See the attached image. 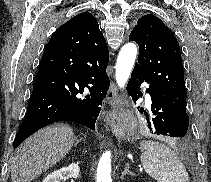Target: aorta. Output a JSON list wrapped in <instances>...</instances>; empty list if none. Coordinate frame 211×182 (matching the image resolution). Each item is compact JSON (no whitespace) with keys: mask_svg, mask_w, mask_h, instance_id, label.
I'll return each mask as SVG.
<instances>
[{"mask_svg":"<svg viewBox=\"0 0 211 182\" xmlns=\"http://www.w3.org/2000/svg\"><path fill=\"white\" fill-rule=\"evenodd\" d=\"M137 55V46L134 43L125 44L118 55L116 63L115 78L118 86L124 88ZM97 182H112L111 178V152L106 151L101 156L97 167Z\"/></svg>","mask_w":211,"mask_h":182,"instance_id":"obj_1","label":"aorta"}]
</instances>
